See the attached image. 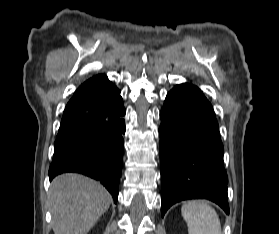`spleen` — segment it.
I'll list each match as a JSON object with an SVG mask.
<instances>
[{"instance_id": "3e777b00", "label": "spleen", "mask_w": 279, "mask_h": 234, "mask_svg": "<svg viewBox=\"0 0 279 234\" xmlns=\"http://www.w3.org/2000/svg\"><path fill=\"white\" fill-rule=\"evenodd\" d=\"M188 234H221L216 211L205 201H189L181 208Z\"/></svg>"}]
</instances>
